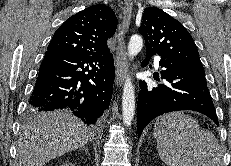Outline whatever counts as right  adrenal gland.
I'll return each instance as SVG.
<instances>
[{
    "instance_id": "2a0ac1e0",
    "label": "right adrenal gland",
    "mask_w": 231,
    "mask_h": 166,
    "mask_svg": "<svg viewBox=\"0 0 231 166\" xmlns=\"http://www.w3.org/2000/svg\"><path fill=\"white\" fill-rule=\"evenodd\" d=\"M82 150H84L87 154L90 155V153H89V151H88V149H87V146H83V147H82Z\"/></svg>"
}]
</instances>
